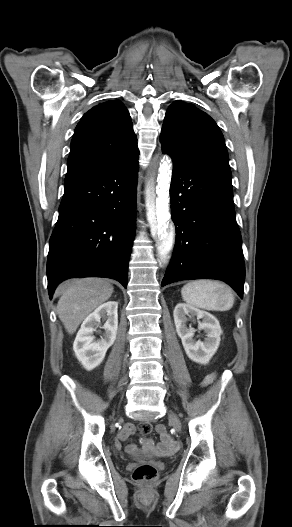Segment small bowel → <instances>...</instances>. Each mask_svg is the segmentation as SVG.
Returning <instances> with one entry per match:
<instances>
[{
    "label": "small bowel",
    "instance_id": "c3829d8e",
    "mask_svg": "<svg viewBox=\"0 0 292 527\" xmlns=\"http://www.w3.org/2000/svg\"><path fill=\"white\" fill-rule=\"evenodd\" d=\"M212 380V376H208L204 383H209ZM156 432L158 435H160L161 439L158 444H155L154 441L150 438H143L141 440V445L143 449L148 451H158L160 453L166 454V457L168 459H171L173 457V452H175L178 448V443L167 433V424L165 421H158L156 424ZM138 428L135 425L128 424L126 425L118 434V437L114 443V447L116 450L120 451L122 449V443L128 439V437L134 433ZM140 431V430H139ZM152 431V426L151 430ZM149 432V433H150ZM148 434V433H147ZM128 450L130 452H135L137 448L134 445H130L128 447ZM148 457H152V454H148Z\"/></svg>",
    "mask_w": 292,
    "mask_h": 527
}]
</instances>
